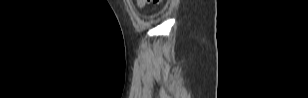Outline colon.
Listing matches in <instances>:
<instances>
[{
  "instance_id": "obj_1",
  "label": "colon",
  "mask_w": 308,
  "mask_h": 98,
  "mask_svg": "<svg viewBox=\"0 0 308 98\" xmlns=\"http://www.w3.org/2000/svg\"><path fill=\"white\" fill-rule=\"evenodd\" d=\"M161 0H138V4L145 6L146 4L153 2L154 4H159Z\"/></svg>"
}]
</instances>
